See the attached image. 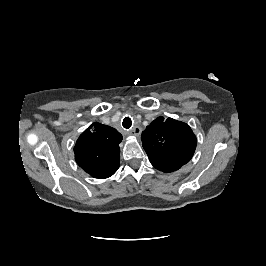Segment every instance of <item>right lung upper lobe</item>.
Returning <instances> with one entry per match:
<instances>
[{"label":"right lung upper lobe","instance_id":"cb5924a9","mask_svg":"<svg viewBox=\"0 0 266 266\" xmlns=\"http://www.w3.org/2000/svg\"><path fill=\"white\" fill-rule=\"evenodd\" d=\"M122 135L100 123L90 125L74 146L77 164L94 178L104 179L119 168V143Z\"/></svg>","mask_w":266,"mask_h":266}]
</instances>
